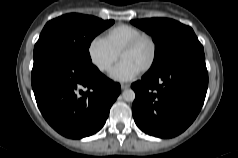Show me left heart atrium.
Segmentation results:
<instances>
[{
  "instance_id": "left-heart-atrium-1",
  "label": "left heart atrium",
  "mask_w": 238,
  "mask_h": 158,
  "mask_svg": "<svg viewBox=\"0 0 238 158\" xmlns=\"http://www.w3.org/2000/svg\"><path fill=\"white\" fill-rule=\"evenodd\" d=\"M140 69L122 60L111 72V77L119 81H127L138 75Z\"/></svg>"
}]
</instances>
